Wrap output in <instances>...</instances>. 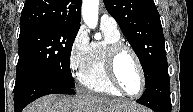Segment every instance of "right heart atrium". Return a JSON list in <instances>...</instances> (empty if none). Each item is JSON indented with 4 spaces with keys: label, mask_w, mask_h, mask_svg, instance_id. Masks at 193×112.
<instances>
[{
    "label": "right heart atrium",
    "mask_w": 193,
    "mask_h": 112,
    "mask_svg": "<svg viewBox=\"0 0 193 112\" xmlns=\"http://www.w3.org/2000/svg\"><path fill=\"white\" fill-rule=\"evenodd\" d=\"M89 49L88 33L84 27H80L70 43L68 53V65L73 75L80 74L86 63Z\"/></svg>",
    "instance_id": "right-heart-atrium-1"
}]
</instances>
